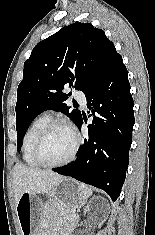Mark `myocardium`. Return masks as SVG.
Wrapping results in <instances>:
<instances>
[{"label": "myocardium", "instance_id": "obj_1", "mask_svg": "<svg viewBox=\"0 0 155 235\" xmlns=\"http://www.w3.org/2000/svg\"><path fill=\"white\" fill-rule=\"evenodd\" d=\"M57 127H63L65 129H67L73 136L74 144H73V148H72L70 154L64 160L51 163V162L45 161L42 158L41 148H42V145H43L45 139L47 138L48 134L54 128H57ZM79 146H80V136L77 133V131L70 124H68L64 120H60V119L50 120L45 125V127L41 130V132L39 133V135L35 141V144L33 147V157L36 160V162L41 166L50 167V168L61 167V166L69 164L70 162H72L75 159L77 152H78V149H79Z\"/></svg>", "mask_w": 155, "mask_h": 235}]
</instances>
